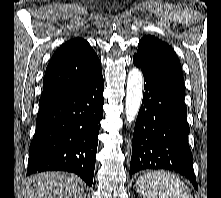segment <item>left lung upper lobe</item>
Returning <instances> with one entry per match:
<instances>
[{"label":"left lung upper lobe","instance_id":"5c2ea615","mask_svg":"<svg viewBox=\"0 0 221 198\" xmlns=\"http://www.w3.org/2000/svg\"><path fill=\"white\" fill-rule=\"evenodd\" d=\"M133 58L171 86L179 95L185 97L180 61L167 43L152 35H146L140 40L137 53Z\"/></svg>","mask_w":221,"mask_h":198}]
</instances>
